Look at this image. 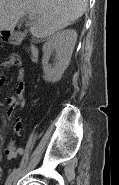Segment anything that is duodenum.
<instances>
[{"instance_id": "obj_1", "label": "duodenum", "mask_w": 119, "mask_h": 185, "mask_svg": "<svg viewBox=\"0 0 119 185\" xmlns=\"http://www.w3.org/2000/svg\"><path fill=\"white\" fill-rule=\"evenodd\" d=\"M6 37L12 41L13 43H19L22 40V35L17 32H8L6 34ZM30 52H31V57L33 60H36L38 57V49L36 46L31 45L30 46Z\"/></svg>"}]
</instances>
